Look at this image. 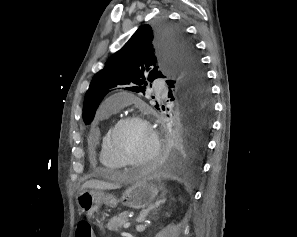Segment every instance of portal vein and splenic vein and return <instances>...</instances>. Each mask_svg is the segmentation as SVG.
I'll list each match as a JSON object with an SVG mask.
<instances>
[{
    "label": "portal vein and splenic vein",
    "mask_w": 297,
    "mask_h": 237,
    "mask_svg": "<svg viewBox=\"0 0 297 237\" xmlns=\"http://www.w3.org/2000/svg\"><path fill=\"white\" fill-rule=\"evenodd\" d=\"M123 227H124L125 229L129 228V227H130V222H126V223L123 225Z\"/></svg>",
    "instance_id": "portal-vein-and-splenic-vein-1"
}]
</instances>
